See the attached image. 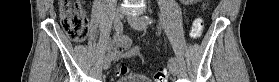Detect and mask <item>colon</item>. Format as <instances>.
<instances>
[{
	"label": "colon",
	"mask_w": 279,
	"mask_h": 82,
	"mask_svg": "<svg viewBox=\"0 0 279 82\" xmlns=\"http://www.w3.org/2000/svg\"><path fill=\"white\" fill-rule=\"evenodd\" d=\"M60 18L62 26L68 37L75 42H82L88 34V23L84 15L82 0H58ZM204 29V21L196 18L190 27L192 39H198ZM130 72L127 66H119L116 69L118 76L126 75ZM168 74L165 70H158L154 73V82H167Z\"/></svg>",
	"instance_id": "1"
}]
</instances>
